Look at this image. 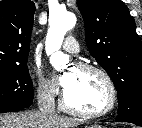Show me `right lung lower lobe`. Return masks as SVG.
Listing matches in <instances>:
<instances>
[{"instance_id": "98d812e1", "label": "right lung lower lobe", "mask_w": 142, "mask_h": 128, "mask_svg": "<svg viewBox=\"0 0 142 128\" xmlns=\"http://www.w3.org/2000/svg\"><path fill=\"white\" fill-rule=\"evenodd\" d=\"M25 107L22 106H16V105H2L0 106V112H15L19 111L21 109H24Z\"/></svg>"}]
</instances>
